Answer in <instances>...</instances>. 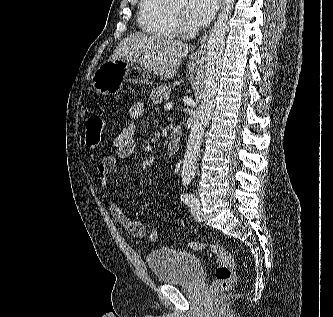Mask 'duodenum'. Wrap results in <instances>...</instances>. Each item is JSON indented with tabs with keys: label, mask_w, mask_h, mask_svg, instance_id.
Here are the masks:
<instances>
[{
	"label": "duodenum",
	"mask_w": 333,
	"mask_h": 317,
	"mask_svg": "<svg viewBox=\"0 0 333 317\" xmlns=\"http://www.w3.org/2000/svg\"><path fill=\"white\" fill-rule=\"evenodd\" d=\"M182 131L179 126H175L171 129L168 141H167V153L170 156H174L178 153L181 145Z\"/></svg>",
	"instance_id": "duodenum-1"
}]
</instances>
